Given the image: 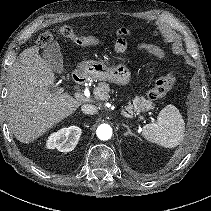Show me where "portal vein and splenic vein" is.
<instances>
[{
    "label": "portal vein and splenic vein",
    "mask_w": 211,
    "mask_h": 211,
    "mask_svg": "<svg viewBox=\"0 0 211 211\" xmlns=\"http://www.w3.org/2000/svg\"><path fill=\"white\" fill-rule=\"evenodd\" d=\"M75 98H76L77 100H80V101H87V100H90L89 97H87L86 95H84V94H82V93H79V92L75 93ZM123 114H124V116H126V117H131V116H130L129 114H127L125 111H123Z\"/></svg>",
    "instance_id": "18ae733b"
}]
</instances>
